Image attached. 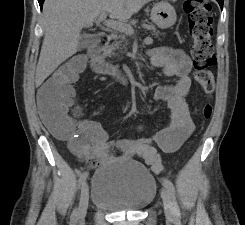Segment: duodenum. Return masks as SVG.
Returning <instances> with one entry per match:
<instances>
[{
	"label": "duodenum",
	"mask_w": 245,
	"mask_h": 225,
	"mask_svg": "<svg viewBox=\"0 0 245 225\" xmlns=\"http://www.w3.org/2000/svg\"><path fill=\"white\" fill-rule=\"evenodd\" d=\"M109 41L110 37L107 33H99L94 44L89 48L88 55L94 72L112 76L118 74V68L113 64L103 61ZM130 73L131 76H134L132 69H130Z\"/></svg>",
	"instance_id": "obj_1"
}]
</instances>
